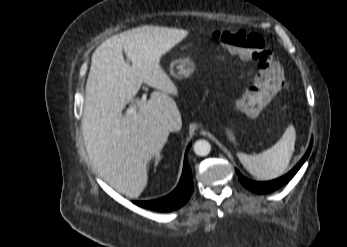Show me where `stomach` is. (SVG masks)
Returning a JSON list of instances; mask_svg holds the SVG:
<instances>
[{"mask_svg": "<svg viewBox=\"0 0 347 247\" xmlns=\"http://www.w3.org/2000/svg\"><path fill=\"white\" fill-rule=\"evenodd\" d=\"M195 64L192 60L189 58L186 59H179L176 60L170 67V74L177 78V79H183L190 77L192 73L194 72ZM226 133L229 136V138L233 137L232 130L226 129Z\"/></svg>", "mask_w": 347, "mask_h": 247, "instance_id": "obj_1", "label": "stomach"}]
</instances>
